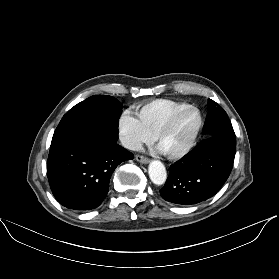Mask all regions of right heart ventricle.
<instances>
[{"instance_id": "right-heart-ventricle-1", "label": "right heart ventricle", "mask_w": 279, "mask_h": 279, "mask_svg": "<svg viewBox=\"0 0 279 279\" xmlns=\"http://www.w3.org/2000/svg\"><path fill=\"white\" fill-rule=\"evenodd\" d=\"M187 105L170 99H155L135 106V110L143 127L154 136L174 111Z\"/></svg>"}]
</instances>
